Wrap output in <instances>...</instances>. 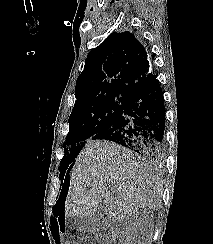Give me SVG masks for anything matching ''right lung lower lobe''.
Listing matches in <instances>:
<instances>
[{"label": "right lung lower lobe", "instance_id": "right-lung-lower-lobe-1", "mask_svg": "<svg viewBox=\"0 0 213 244\" xmlns=\"http://www.w3.org/2000/svg\"><path fill=\"white\" fill-rule=\"evenodd\" d=\"M165 105L160 82L152 75L127 103L114 125L92 139L109 140L120 144L142 157L161 162L164 157ZM67 170L61 193L69 185Z\"/></svg>", "mask_w": 213, "mask_h": 244}]
</instances>
